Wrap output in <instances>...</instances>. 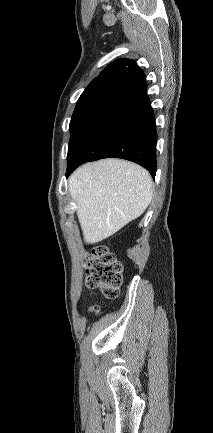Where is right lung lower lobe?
<instances>
[{"label":"right lung lower lobe","mask_w":213,"mask_h":433,"mask_svg":"<svg viewBox=\"0 0 213 433\" xmlns=\"http://www.w3.org/2000/svg\"><path fill=\"white\" fill-rule=\"evenodd\" d=\"M144 78L119 93L86 126L68 151V177L79 165L101 158H122L156 173L155 116Z\"/></svg>","instance_id":"98d812e1"}]
</instances>
